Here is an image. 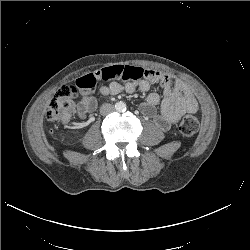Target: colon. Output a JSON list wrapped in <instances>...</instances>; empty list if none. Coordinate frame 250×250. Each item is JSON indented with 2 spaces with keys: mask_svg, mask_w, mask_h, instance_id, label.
Returning <instances> with one entry per match:
<instances>
[{
  "mask_svg": "<svg viewBox=\"0 0 250 250\" xmlns=\"http://www.w3.org/2000/svg\"><path fill=\"white\" fill-rule=\"evenodd\" d=\"M77 87L67 85L59 88L51 100L46 117L50 121H67L73 114L76 104ZM199 129V121L193 115L183 117L179 124V131L184 137H193Z\"/></svg>",
  "mask_w": 250,
  "mask_h": 250,
  "instance_id": "obj_1",
  "label": "colon"
}]
</instances>
